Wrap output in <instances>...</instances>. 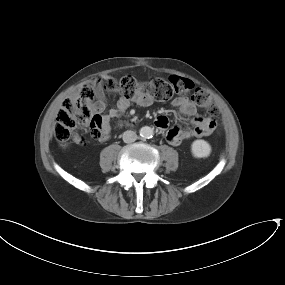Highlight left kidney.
I'll return each mask as SVG.
<instances>
[{
	"label": "left kidney",
	"mask_w": 285,
	"mask_h": 285,
	"mask_svg": "<svg viewBox=\"0 0 285 285\" xmlns=\"http://www.w3.org/2000/svg\"><path fill=\"white\" fill-rule=\"evenodd\" d=\"M191 152L196 158H206L211 153V146L205 140H195L191 145Z\"/></svg>",
	"instance_id": "1"
}]
</instances>
